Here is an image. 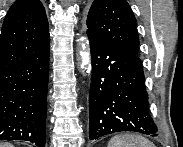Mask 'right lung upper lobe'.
Here are the masks:
<instances>
[{"label": "right lung upper lobe", "instance_id": "right-lung-upper-lobe-1", "mask_svg": "<svg viewBox=\"0 0 183 147\" xmlns=\"http://www.w3.org/2000/svg\"><path fill=\"white\" fill-rule=\"evenodd\" d=\"M49 50L45 9L39 0H17L1 30L0 70L31 60Z\"/></svg>", "mask_w": 183, "mask_h": 147}]
</instances>
